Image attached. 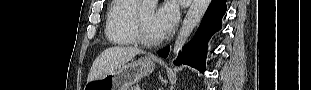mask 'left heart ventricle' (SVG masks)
<instances>
[{
  "label": "left heart ventricle",
  "instance_id": "obj_1",
  "mask_svg": "<svg viewBox=\"0 0 311 90\" xmlns=\"http://www.w3.org/2000/svg\"><path fill=\"white\" fill-rule=\"evenodd\" d=\"M154 10H147L140 13L141 22L145 33L150 38H158L161 33L153 26Z\"/></svg>",
  "mask_w": 311,
  "mask_h": 90
}]
</instances>
